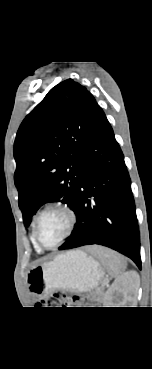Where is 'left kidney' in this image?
Here are the masks:
<instances>
[{
  "label": "left kidney",
  "mask_w": 152,
  "mask_h": 369,
  "mask_svg": "<svg viewBox=\"0 0 152 369\" xmlns=\"http://www.w3.org/2000/svg\"><path fill=\"white\" fill-rule=\"evenodd\" d=\"M138 274L136 272L126 273L122 282L114 284L104 296V307H121L127 300V293L131 286L137 283ZM128 285V290L122 288L123 285Z\"/></svg>",
  "instance_id": "obj_1"
}]
</instances>
